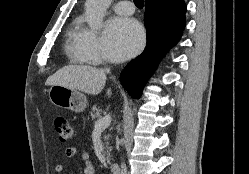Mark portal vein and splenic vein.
I'll use <instances>...</instances> for the list:
<instances>
[{
    "instance_id": "portal-vein-and-splenic-vein-1",
    "label": "portal vein and splenic vein",
    "mask_w": 249,
    "mask_h": 174,
    "mask_svg": "<svg viewBox=\"0 0 249 174\" xmlns=\"http://www.w3.org/2000/svg\"><path fill=\"white\" fill-rule=\"evenodd\" d=\"M110 124H111V117L109 115H105L104 117L98 119L95 122L94 130L103 131L106 128H108Z\"/></svg>"
}]
</instances>
